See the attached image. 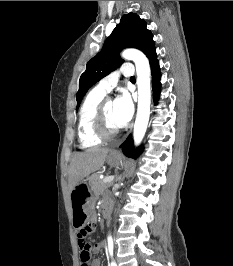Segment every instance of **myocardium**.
Instances as JSON below:
<instances>
[{"label":"myocardium","mask_w":233,"mask_h":266,"mask_svg":"<svg viewBox=\"0 0 233 266\" xmlns=\"http://www.w3.org/2000/svg\"><path fill=\"white\" fill-rule=\"evenodd\" d=\"M113 101L110 97H104L98 106L96 107L94 119H93V130L97 137L101 140H111L115 138L118 133L119 129H110L105 120V108L106 105Z\"/></svg>","instance_id":"1"}]
</instances>
